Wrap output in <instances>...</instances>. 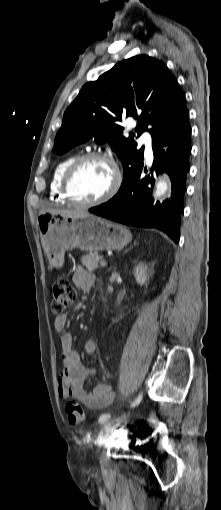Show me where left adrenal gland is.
I'll return each instance as SVG.
<instances>
[{
	"label": "left adrenal gland",
	"instance_id": "left-adrenal-gland-1",
	"mask_svg": "<svg viewBox=\"0 0 221 510\" xmlns=\"http://www.w3.org/2000/svg\"><path fill=\"white\" fill-rule=\"evenodd\" d=\"M136 245H138V243H137L136 241H134V244H133V245H132V246H131L128 250H126V252H127V251H129V250H131V249H132L134 246H136Z\"/></svg>",
	"mask_w": 221,
	"mask_h": 510
}]
</instances>
